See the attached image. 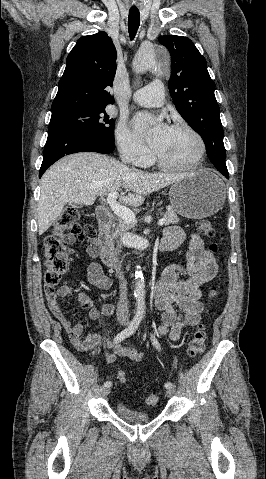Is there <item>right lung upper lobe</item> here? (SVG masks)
<instances>
[{
    "label": "right lung upper lobe",
    "instance_id": "1",
    "mask_svg": "<svg viewBox=\"0 0 266 479\" xmlns=\"http://www.w3.org/2000/svg\"><path fill=\"white\" fill-rule=\"evenodd\" d=\"M116 56L112 39L105 32L81 37L66 59L52 113L113 104L106 87L113 84Z\"/></svg>",
    "mask_w": 266,
    "mask_h": 479
}]
</instances>
